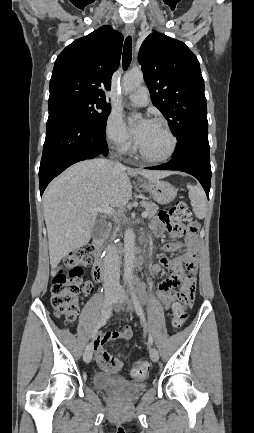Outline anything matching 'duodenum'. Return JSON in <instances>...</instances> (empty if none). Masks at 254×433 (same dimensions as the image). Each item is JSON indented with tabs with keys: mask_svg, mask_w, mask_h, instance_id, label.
Returning <instances> with one entry per match:
<instances>
[{
	"mask_svg": "<svg viewBox=\"0 0 254 433\" xmlns=\"http://www.w3.org/2000/svg\"><path fill=\"white\" fill-rule=\"evenodd\" d=\"M93 247L96 253V259L92 268V274L95 279L102 280L105 275V260L101 257L102 247L99 241H94Z\"/></svg>",
	"mask_w": 254,
	"mask_h": 433,
	"instance_id": "duodenum-1",
	"label": "duodenum"
}]
</instances>
